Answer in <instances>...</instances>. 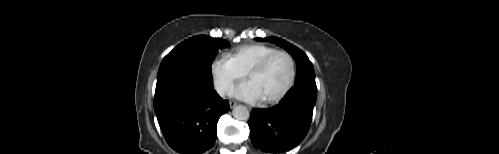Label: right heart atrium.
<instances>
[{"label":"right heart atrium","instance_id":"d8ad5b80","mask_svg":"<svg viewBox=\"0 0 499 154\" xmlns=\"http://www.w3.org/2000/svg\"><path fill=\"white\" fill-rule=\"evenodd\" d=\"M210 75L215 90L226 94L236 81L245 77L243 72L227 55L214 58L210 63Z\"/></svg>","mask_w":499,"mask_h":154}]
</instances>
